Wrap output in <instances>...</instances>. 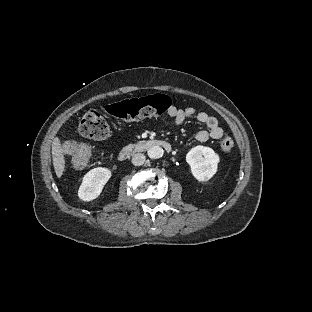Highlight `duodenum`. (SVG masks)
I'll list each match as a JSON object with an SVG mask.
<instances>
[{
  "label": "duodenum",
  "mask_w": 312,
  "mask_h": 312,
  "mask_svg": "<svg viewBox=\"0 0 312 312\" xmlns=\"http://www.w3.org/2000/svg\"><path fill=\"white\" fill-rule=\"evenodd\" d=\"M156 146L163 148L167 152H171L173 150V146L169 141L160 138H149L140 142L126 145L119 153V159L126 160L137 152H143Z\"/></svg>",
  "instance_id": "obj_1"
}]
</instances>
